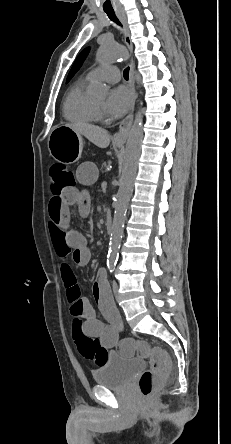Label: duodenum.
<instances>
[{
	"label": "duodenum",
	"instance_id": "410a0bca",
	"mask_svg": "<svg viewBox=\"0 0 231 444\" xmlns=\"http://www.w3.org/2000/svg\"><path fill=\"white\" fill-rule=\"evenodd\" d=\"M113 228V219L111 214H107L105 218V229L106 232L110 233Z\"/></svg>",
	"mask_w": 231,
	"mask_h": 444
}]
</instances>
